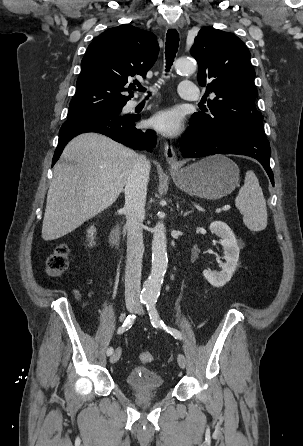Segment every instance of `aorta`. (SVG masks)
<instances>
[{
	"mask_svg": "<svg viewBox=\"0 0 303 446\" xmlns=\"http://www.w3.org/2000/svg\"><path fill=\"white\" fill-rule=\"evenodd\" d=\"M175 69L182 74L195 72L196 64L191 60L180 58L175 62ZM167 239L165 227L158 222L153 230L152 239V266L148 279L142 290V298L145 301H156L161 290L164 275L168 266Z\"/></svg>",
	"mask_w": 303,
	"mask_h": 446,
	"instance_id": "obj_1",
	"label": "aorta"
}]
</instances>
